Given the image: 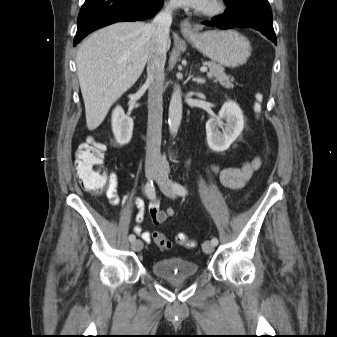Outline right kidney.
<instances>
[{
  "label": "right kidney",
  "instance_id": "1",
  "mask_svg": "<svg viewBox=\"0 0 337 337\" xmlns=\"http://www.w3.org/2000/svg\"><path fill=\"white\" fill-rule=\"evenodd\" d=\"M132 118L125 115L122 107L117 106L112 114V131L118 144H128L132 138Z\"/></svg>",
  "mask_w": 337,
  "mask_h": 337
}]
</instances>
